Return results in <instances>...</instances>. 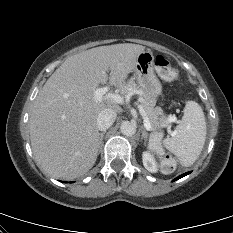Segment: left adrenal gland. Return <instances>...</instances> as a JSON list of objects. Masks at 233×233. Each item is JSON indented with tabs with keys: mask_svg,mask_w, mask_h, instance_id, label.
I'll list each match as a JSON object with an SVG mask.
<instances>
[{
	"mask_svg": "<svg viewBox=\"0 0 233 233\" xmlns=\"http://www.w3.org/2000/svg\"><path fill=\"white\" fill-rule=\"evenodd\" d=\"M144 138L145 144L148 141V133L144 127H142V139Z\"/></svg>",
	"mask_w": 233,
	"mask_h": 233,
	"instance_id": "obj_1",
	"label": "left adrenal gland"
}]
</instances>
